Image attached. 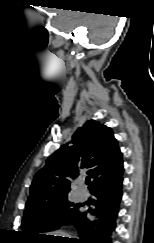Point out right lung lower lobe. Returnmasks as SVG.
<instances>
[{"mask_svg": "<svg viewBox=\"0 0 154 243\" xmlns=\"http://www.w3.org/2000/svg\"><path fill=\"white\" fill-rule=\"evenodd\" d=\"M123 164L112 174L96 181L90 191L94 195L92 209L78 211L66 220L65 225L76 227L80 239H64V243H111V234L116 226V218L122 197Z\"/></svg>", "mask_w": 154, "mask_h": 243, "instance_id": "98d812e1", "label": "right lung lower lobe"}]
</instances>
